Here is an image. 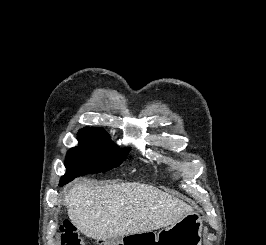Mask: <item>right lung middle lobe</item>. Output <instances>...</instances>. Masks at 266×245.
<instances>
[{
    "label": "right lung middle lobe",
    "mask_w": 266,
    "mask_h": 245,
    "mask_svg": "<svg viewBox=\"0 0 266 245\" xmlns=\"http://www.w3.org/2000/svg\"><path fill=\"white\" fill-rule=\"evenodd\" d=\"M78 141V147L70 149L67 153V173L61 178L60 185L88 173L111 170L119 166L127 155L125 150L113 145L109 135L100 128L81 129Z\"/></svg>",
    "instance_id": "dd1d6c3e"
}]
</instances>
